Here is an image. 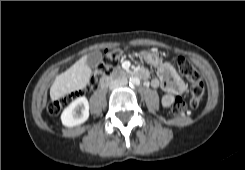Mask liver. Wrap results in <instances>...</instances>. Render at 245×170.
I'll use <instances>...</instances> for the list:
<instances>
[{
  "label": "liver",
  "mask_w": 245,
  "mask_h": 170,
  "mask_svg": "<svg viewBox=\"0 0 245 170\" xmlns=\"http://www.w3.org/2000/svg\"><path fill=\"white\" fill-rule=\"evenodd\" d=\"M86 59L87 56L85 55L56 77L50 89L52 101H56L66 94L86 87L92 75V70L86 64Z\"/></svg>",
  "instance_id": "6515ba94"
}]
</instances>
